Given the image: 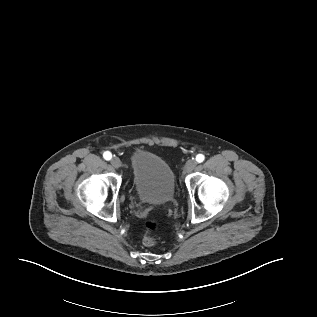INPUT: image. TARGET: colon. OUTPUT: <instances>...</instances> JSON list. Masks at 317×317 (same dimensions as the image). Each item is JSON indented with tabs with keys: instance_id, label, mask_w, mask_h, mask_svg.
Instances as JSON below:
<instances>
[{
	"instance_id": "colon-1",
	"label": "colon",
	"mask_w": 317,
	"mask_h": 317,
	"mask_svg": "<svg viewBox=\"0 0 317 317\" xmlns=\"http://www.w3.org/2000/svg\"><path fill=\"white\" fill-rule=\"evenodd\" d=\"M156 228V224L153 221H150L146 224V233L143 237V244L145 246H154L157 243V240L150 235V232Z\"/></svg>"
}]
</instances>
